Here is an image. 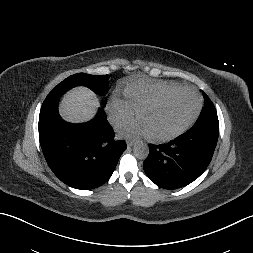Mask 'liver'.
Wrapping results in <instances>:
<instances>
[{"instance_id": "1", "label": "liver", "mask_w": 253, "mask_h": 253, "mask_svg": "<svg viewBox=\"0 0 253 253\" xmlns=\"http://www.w3.org/2000/svg\"><path fill=\"white\" fill-rule=\"evenodd\" d=\"M99 106L98 98L91 90L77 87L64 95L60 114L69 122H84L95 115Z\"/></svg>"}]
</instances>
